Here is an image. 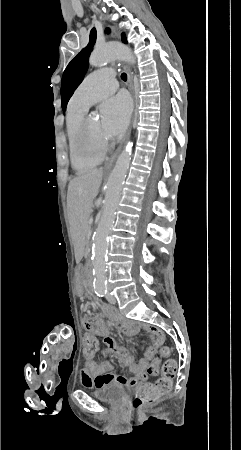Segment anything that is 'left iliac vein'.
Segmentation results:
<instances>
[{
    "instance_id": "obj_1",
    "label": "left iliac vein",
    "mask_w": 241,
    "mask_h": 450,
    "mask_svg": "<svg viewBox=\"0 0 241 450\" xmlns=\"http://www.w3.org/2000/svg\"><path fill=\"white\" fill-rule=\"evenodd\" d=\"M106 298L112 304H114L116 302L115 297L110 293V291L107 293Z\"/></svg>"
}]
</instances>
